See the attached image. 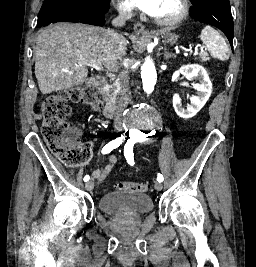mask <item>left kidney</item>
Segmentation results:
<instances>
[{"instance_id":"obj_1","label":"left kidney","mask_w":256,"mask_h":267,"mask_svg":"<svg viewBox=\"0 0 256 267\" xmlns=\"http://www.w3.org/2000/svg\"><path fill=\"white\" fill-rule=\"evenodd\" d=\"M182 76H185L186 80L189 82H193V80H198L199 84H191L195 90H197V96H191L190 98V106H188L187 110L182 108V100L179 98L178 94H174L173 96V108L180 118H193L203 106H205L207 100H209L212 92V84L210 82V78L203 66H199V64H187V66H181L179 70Z\"/></svg>"}]
</instances>
